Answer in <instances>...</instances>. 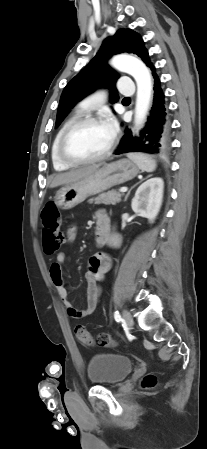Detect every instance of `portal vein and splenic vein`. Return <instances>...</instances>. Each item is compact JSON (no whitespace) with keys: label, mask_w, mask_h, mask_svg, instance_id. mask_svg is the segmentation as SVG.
Returning <instances> with one entry per match:
<instances>
[{"label":"portal vein and splenic vein","mask_w":207,"mask_h":449,"mask_svg":"<svg viewBox=\"0 0 207 449\" xmlns=\"http://www.w3.org/2000/svg\"><path fill=\"white\" fill-rule=\"evenodd\" d=\"M128 189H127V187H122L121 189H120V192L121 193H124V192H126Z\"/></svg>","instance_id":"obj_1"}]
</instances>
